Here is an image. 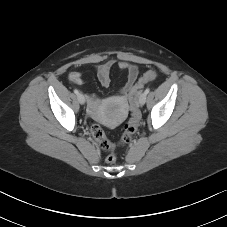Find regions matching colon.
Listing matches in <instances>:
<instances>
[{"mask_svg":"<svg viewBox=\"0 0 227 227\" xmlns=\"http://www.w3.org/2000/svg\"><path fill=\"white\" fill-rule=\"evenodd\" d=\"M157 77V73L153 70H149L143 74V76L139 79V81L133 86L131 91L129 92L128 100L130 103L131 109V117L128 122L124 125L121 143L127 144L131 141L132 137L137 131V127L140 122V112L136 105V98L143 88V86L155 80ZM91 135L98 143V145L104 150H113L114 145L107 139L102 127L96 123H93L90 127ZM106 162L109 164H114L116 162V155L114 152H110L106 157Z\"/></svg>","mask_w":227,"mask_h":227,"instance_id":"colon-1","label":"colon"}]
</instances>
